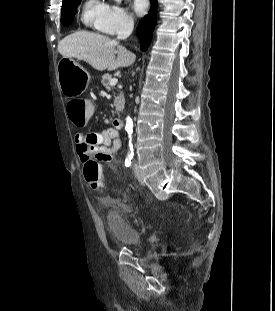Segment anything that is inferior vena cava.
Returning a JSON list of instances; mask_svg holds the SVG:
<instances>
[{"mask_svg":"<svg viewBox=\"0 0 275 311\" xmlns=\"http://www.w3.org/2000/svg\"><path fill=\"white\" fill-rule=\"evenodd\" d=\"M134 23L131 20H124L117 29V39H126L132 33Z\"/></svg>","mask_w":275,"mask_h":311,"instance_id":"obj_1","label":"inferior vena cava"}]
</instances>
